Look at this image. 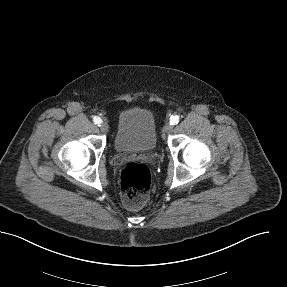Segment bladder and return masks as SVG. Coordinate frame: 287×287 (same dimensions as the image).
Segmentation results:
<instances>
[{
    "instance_id": "1",
    "label": "bladder",
    "mask_w": 287,
    "mask_h": 287,
    "mask_svg": "<svg viewBox=\"0 0 287 287\" xmlns=\"http://www.w3.org/2000/svg\"><path fill=\"white\" fill-rule=\"evenodd\" d=\"M157 144L156 125L153 114L141 107L123 110L118 118L114 138L119 153H148Z\"/></svg>"
}]
</instances>
